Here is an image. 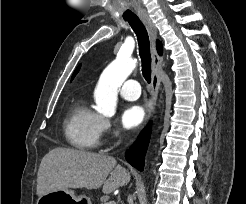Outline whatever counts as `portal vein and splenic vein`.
Masks as SVG:
<instances>
[{
  "label": "portal vein and splenic vein",
  "instance_id": "obj_1",
  "mask_svg": "<svg viewBox=\"0 0 246 204\" xmlns=\"http://www.w3.org/2000/svg\"><path fill=\"white\" fill-rule=\"evenodd\" d=\"M108 204H116L115 201H109Z\"/></svg>",
  "mask_w": 246,
  "mask_h": 204
}]
</instances>
